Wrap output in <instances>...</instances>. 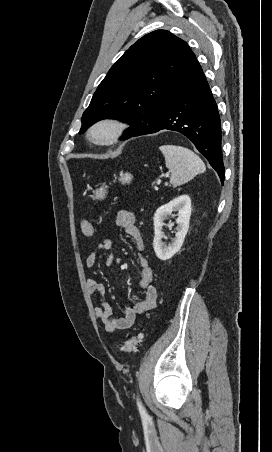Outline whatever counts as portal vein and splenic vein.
<instances>
[{
    "mask_svg": "<svg viewBox=\"0 0 272 452\" xmlns=\"http://www.w3.org/2000/svg\"><path fill=\"white\" fill-rule=\"evenodd\" d=\"M167 175H168V174H166V176H167ZM160 183H161V180L158 179L157 182H156V184H157V185H160Z\"/></svg>",
    "mask_w": 272,
    "mask_h": 452,
    "instance_id": "portal-vein-and-splenic-vein-1",
    "label": "portal vein and splenic vein"
}]
</instances>
